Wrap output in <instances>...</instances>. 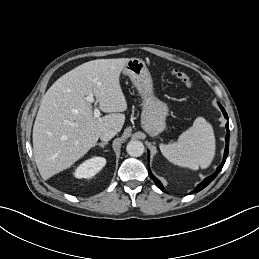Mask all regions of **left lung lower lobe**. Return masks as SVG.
I'll return each instance as SVG.
<instances>
[{
  "label": "left lung lower lobe",
  "instance_id": "0a47b994",
  "mask_svg": "<svg viewBox=\"0 0 259 259\" xmlns=\"http://www.w3.org/2000/svg\"><path fill=\"white\" fill-rule=\"evenodd\" d=\"M219 106H220V108H221V110H222V112H223L225 118L228 119V116H227V113H226L225 109H224L220 104H219ZM226 130H227V134H226V138H225V140H226V147H225V152H224V158H223V161H222L221 165L217 168L216 172H215L213 175H211V176L205 178L204 181H203L202 183H200V184L196 187V189H195L193 192H199V191H201L202 189H204V188L218 175V173L221 171V169H222V167H223V165H224V163H225V161H226V158H227V155H228V149H229V135H230V133H229V124H228V123L226 124ZM148 159H149V154H148ZM148 168H149V167H148ZM149 174H150L151 178L153 179V181L155 182V184H156L162 191H164L163 185H162L161 182L151 173L150 169H149ZM193 192H191V193H193Z\"/></svg>",
  "mask_w": 259,
  "mask_h": 259
}]
</instances>
